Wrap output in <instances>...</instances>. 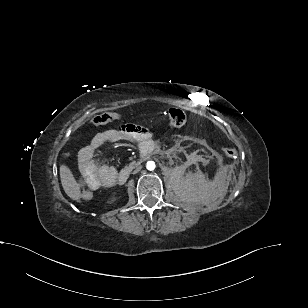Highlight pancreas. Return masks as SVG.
<instances>
[{"label":"pancreas","mask_w":308,"mask_h":308,"mask_svg":"<svg viewBox=\"0 0 308 308\" xmlns=\"http://www.w3.org/2000/svg\"><path fill=\"white\" fill-rule=\"evenodd\" d=\"M134 166H135V163L133 162V163H130L128 167L132 169Z\"/></svg>","instance_id":"obj_1"}]
</instances>
